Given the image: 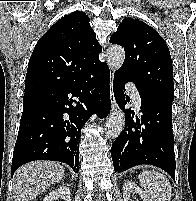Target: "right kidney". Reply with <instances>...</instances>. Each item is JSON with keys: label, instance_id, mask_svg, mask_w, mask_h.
Listing matches in <instances>:
<instances>
[{"label": "right kidney", "instance_id": "1", "mask_svg": "<svg viewBox=\"0 0 196 201\" xmlns=\"http://www.w3.org/2000/svg\"><path fill=\"white\" fill-rule=\"evenodd\" d=\"M70 201V190L66 186H60L56 190L50 191L43 201H57L58 199Z\"/></svg>", "mask_w": 196, "mask_h": 201}]
</instances>
